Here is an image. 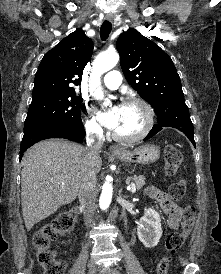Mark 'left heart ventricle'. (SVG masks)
I'll return each mask as SVG.
<instances>
[{
	"mask_svg": "<svg viewBox=\"0 0 221 274\" xmlns=\"http://www.w3.org/2000/svg\"><path fill=\"white\" fill-rule=\"evenodd\" d=\"M144 122V112L139 105H122L118 125L114 131L121 135H134L143 128Z\"/></svg>",
	"mask_w": 221,
	"mask_h": 274,
	"instance_id": "b2bd125f",
	"label": "left heart ventricle"
}]
</instances>
